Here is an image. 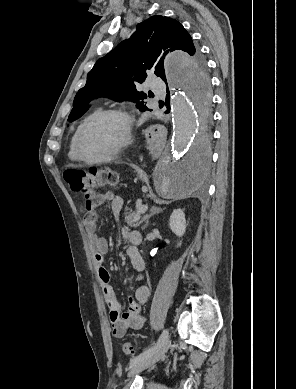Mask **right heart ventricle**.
Wrapping results in <instances>:
<instances>
[{"mask_svg": "<svg viewBox=\"0 0 296 389\" xmlns=\"http://www.w3.org/2000/svg\"><path fill=\"white\" fill-rule=\"evenodd\" d=\"M87 118H88V117H86V118L81 122V124H82ZM81 124H80V125H81ZM80 125L78 126L77 130L75 131V133H74V135H73V137H72V139H71L70 146H69L68 156H69V158H70L71 160H73V161L78 160V157H77L76 152H75V138H76V134H77V131H78Z\"/></svg>", "mask_w": 296, "mask_h": 389, "instance_id": "e07e8e85", "label": "right heart ventricle"}]
</instances>
